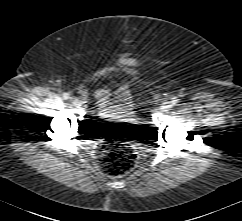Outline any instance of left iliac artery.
Returning a JSON list of instances; mask_svg holds the SVG:
<instances>
[{"instance_id": "obj_1", "label": "left iliac artery", "mask_w": 242, "mask_h": 221, "mask_svg": "<svg viewBox=\"0 0 242 221\" xmlns=\"http://www.w3.org/2000/svg\"><path fill=\"white\" fill-rule=\"evenodd\" d=\"M172 105H176L178 103V99L174 97L171 101Z\"/></svg>"}]
</instances>
